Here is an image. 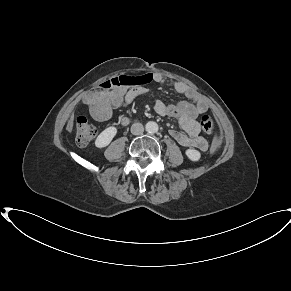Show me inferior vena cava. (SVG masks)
<instances>
[{"instance_id":"inferior-vena-cava-1","label":"inferior vena cava","mask_w":291,"mask_h":291,"mask_svg":"<svg viewBox=\"0 0 291 291\" xmlns=\"http://www.w3.org/2000/svg\"><path fill=\"white\" fill-rule=\"evenodd\" d=\"M144 132V127L142 124L140 123H134L132 126H131V133L133 135H142Z\"/></svg>"}]
</instances>
